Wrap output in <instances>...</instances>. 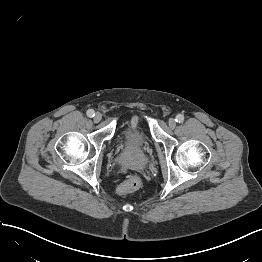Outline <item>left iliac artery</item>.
<instances>
[{
  "instance_id": "left-iliac-artery-1",
  "label": "left iliac artery",
  "mask_w": 262,
  "mask_h": 262,
  "mask_svg": "<svg viewBox=\"0 0 262 262\" xmlns=\"http://www.w3.org/2000/svg\"><path fill=\"white\" fill-rule=\"evenodd\" d=\"M176 122L181 123L184 121V116L182 114H178L175 119Z\"/></svg>"
}]
</instances>
